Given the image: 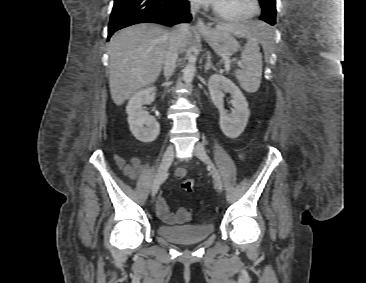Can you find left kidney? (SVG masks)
<instances>
[{
  "instance_id": "obj_1",
  "label": "left kidney",
  "mask_w": 366,
  "mask_h": 283,
  "mask_svg": "<svg viewBox=\"0 0 366 283\" xmlns=\"http://www.w3.org/2000/svg\"><path fill=\"white\" fill-rule=\"evenodd\" d=\"M208 88L211 99L219 110V125L222 132L228 138H237L244 131L250 116L246 98L236 84L223 75H212L208 81ZM224 92L232 95L231 113L224 109Z\"/></svg>"
}]
</instances>
